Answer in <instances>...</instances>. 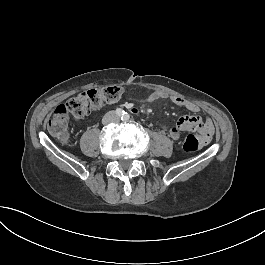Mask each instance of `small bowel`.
<instances>
[{"label":"small bowel","instance_id":"1","mask_svg":"<svg viewBox=\"0 0 265 265\" xmlns=\"http://www.w3.org/2000/svg\"><path fill=\"white\" fill-rule=\"evenodd\" d=\"M137 102H155L159 100H169L178 107H182L192 113L191 115L182 116L176 124L169 130V137L177 140L182 131L195 130L200 136L202 144H208L214 133V125L208 116L205 115L202 108L183 97L169 95L165 91H154L149 95L141 98H132Z\"/></svg>","mask_w":265,"mask_h":265}]
</instances>
